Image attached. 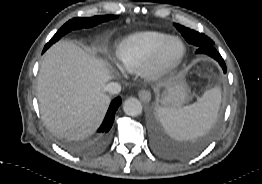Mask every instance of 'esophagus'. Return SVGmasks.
<instances>
[{"label":"esophagus","instance_id":"34e87169","mask_svg":"<svg viewBox=\"0 0 262 184\" xmlns=\"http://www.w3.org/2000/svg\"><path fill=\"white\" fill-rule=\"evenodd\" d=\"M138 96L143 103H149L151 100V93L148 90L139 91Z\"/></svg>","mask_w":262,"mask_h":184}]
</instances>
